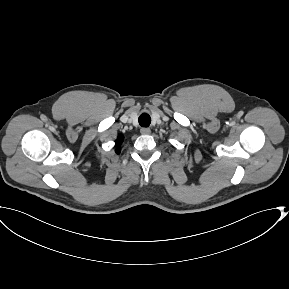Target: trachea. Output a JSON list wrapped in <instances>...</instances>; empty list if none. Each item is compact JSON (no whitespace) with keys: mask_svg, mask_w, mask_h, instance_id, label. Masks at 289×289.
Returning a JSON list of instances; mask_svg holds the SVG:
<instances>
[{"mask_svg":"<svg viewBox=\"0 0 289 289\" xmlns=\"http://www.w3.org/2000/svg\"><path fill=\"white\" fill-rule=\"evenodd\" d=\"M139 124L142 127H148L151 123V117L147 113H142L138 118Z\"/></svg>","mask_w":289,"mask_h":289,"instance_id":"3493384b","label":"trachea"}]
</instances>
